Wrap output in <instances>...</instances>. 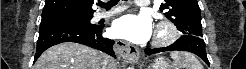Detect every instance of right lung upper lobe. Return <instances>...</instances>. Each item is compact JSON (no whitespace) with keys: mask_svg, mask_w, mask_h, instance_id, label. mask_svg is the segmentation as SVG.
<instances>
[{"mask_svg":"<svg viewBox=\"0 0 246 69\" xmlns=\"http://www.w3.org/2000/svg\"><path fill=\"white\" fill-rule=\"evenodd\" d=\"M94 0H46L42 17L59 14H93Z\"/></svg>","mask_w":246,"mask_h":69,"instance_id":"1","label":"right lung upper lobe"}]
</instances>
